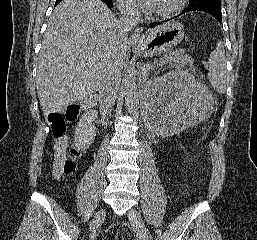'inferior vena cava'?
Wrapping results in <instances>:
<instances>
[{
	"label": "inferior vena cava",
	"instance_id": "inferior-vena-cava-1",
	"mask_svg": "<svg viewBox=\"0 0 257 240\" xmlns=\"http://www.w3.org/2000/svg\"><path fill=\"white\" fill-rule=\"evenodd\" d=\"M120 12L121 16L116 26L117 36L119 41H125L129 32L139 23L140 12L138 7L131 2L121 5ZM120 84L121 70L115 62L99 86V97L104 118L110 114L113 108Z\"/></svg>",
	"mask_w": 257,
	"mask_h": 240
}]
</instances>
